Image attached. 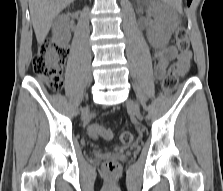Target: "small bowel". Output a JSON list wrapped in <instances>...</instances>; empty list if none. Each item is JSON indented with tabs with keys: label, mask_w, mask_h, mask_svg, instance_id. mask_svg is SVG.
I'll use <instances>...</instances> for the list:
<instances>
[{
	"label": "small bowel",
	"mask_w": 223,
	"mask_h": 191,
	"mask_svg": "<svg viewBox=\"0 0 223 191\" xmlns=\"http://www.w3.org/2000/svg\"><path fill=\"white\" fill-rule=\"evenodd\" d=\"M153 56L155 59V72L158 76H162L168 63L176 60L179 65V74L183 75L187 72L191 60V53H180L174 46L169 45H153Z\"/></svg>",
	"instance_id": "c3829d8e"
}]
</instances>
